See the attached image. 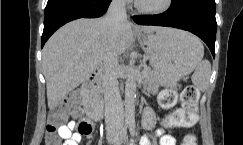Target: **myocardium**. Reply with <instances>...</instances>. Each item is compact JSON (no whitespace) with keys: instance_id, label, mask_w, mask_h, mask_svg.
Returning a JSON list of instances; mask_svg holds the SVG:
<instances>
[{"instance_id":"obj_1","label":"myocardium","mask_w":243,"mask_h":145,"mask_svg":"<svg viewBox=\"0 0 243 145\" xmlns=\"http://www.w3.org/2000/svg\"><path fill=\"white\" fill-rule=\"evenodd\" d=\"M173 5V0H166L165 3L158 8H147L144 7L140 4L138 0H135V6L138 11L144 13V14H149V15H161L166 12H168Z\"/></svg>"}]
</instances>
